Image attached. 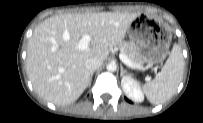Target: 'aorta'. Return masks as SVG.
Wrapping results in <instances>:
<instances>
[{
  "mask_svg": "<svg viewBox=\"0 0 203 123\" xmlns=\"http://www.w3.org/2000/svg\"><path fill=\"white\" fill-rule=\"evenodd\" d=\"M106 68L108 71L113 72L116 70V64L115 63H109Z\"/></svg>",
  "mask_w": 203,
  "mask_h": 123,
  "instance_id": "762f6f07",
  "label": "aorta"
}]
</instances>
